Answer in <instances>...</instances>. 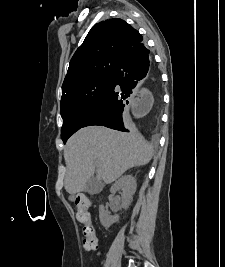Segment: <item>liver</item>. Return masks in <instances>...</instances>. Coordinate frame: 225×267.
Wrapping results in <instances>:
<instances>
[{
	"mask_svg": "<svg viewBox=\"0 0 225 267\" xmlns=\"http://www.w3.org/2000/svg\"><path fill=\"white\" fill-rule=\"evenodd\" d=\"M152 156V147L140 134L101 126L84 127L68 140L64 149L65 189L69 194L86 190L96 168L98 180L111 183L129 168L148 164Z\"/></svg>",
	"mask_w": 225,
	"mask_h": 267,
	"instance_id": "liver-1",
	"label": "liver"
}]
</instances>
